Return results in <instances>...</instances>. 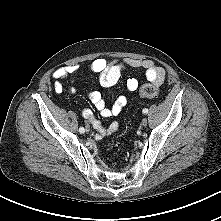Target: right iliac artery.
<instances>
[{
  "label": "right iliac artery",
  "instance_id": "right-iliac-artery-1",
  "mask_svg": "<svg viewBox=\"0 0 221 221\" xmlns=\"http://www.w3.org/2000/svg\"><path fill=\"white\" fill-rule=\"evenodd\" d=\"M79 132H80V133H84V132H85V129H84L83 127H80V128H79Z\"/></svg>",
  "mask_w": 221,
  "mask_h": 221
}]
</instances>
